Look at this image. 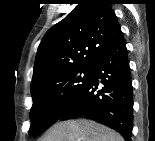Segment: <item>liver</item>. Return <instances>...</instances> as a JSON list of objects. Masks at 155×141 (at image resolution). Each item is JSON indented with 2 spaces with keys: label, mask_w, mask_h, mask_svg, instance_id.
<instances>
[{
  "label": "liver",
  "mask_w": 155,
  "mask_h": 141,
  "mask_svg": "<svg viewBox=\"0 0 155 141\" xmlns=\"http://www.w3.org/2000/svg\"><path fill=\"white\" fill-rule=\"evenodd\" d=\"M42 141H123V138L95 121L78 119L55 124Z\"/></svg>",
  "instance_id": "liver-1"
}]
</instances>
